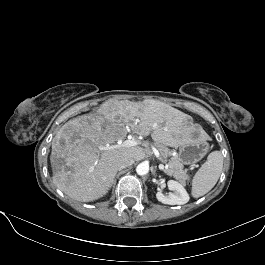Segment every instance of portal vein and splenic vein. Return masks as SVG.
Returning <instances> with one entry per match:
<instances>
[{
	"instance_id": "portal-vein-and-splenic-vein-1",
	"label": "portal vein and splenic vein",
	"mask_w": 265,
	"mask_h": 265,
	"mask_svg": "<svg viewBox=\"0 0 265 265\" xmlns=\"http://www.w3.org/2000/svg\"><path fill=\"white\" fill-rule=\"evenodd\" d=\"M138 141H136L134 138H128L127 140H119L117 144L115 145H107L105 147H101L100 151L103 150H109V149H116L119 147H130V146H136L138 145ZM166 167L163 164L159 165L160 170H164Z\"/></svg>"
}]
</instances>
